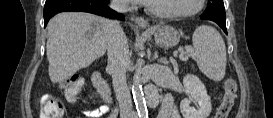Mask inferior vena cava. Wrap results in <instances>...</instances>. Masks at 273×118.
I'll list each match as a JSON object with an SVG mask.
<instances>
[{"label": "inferior vena cava", "instance_id": "obj_1", "mask_svg": "<svg viewBox=\"0 0 273 118\" xmlns=\"http://www.w3.org/2000/svg\"><path fill=\"white\" fill-rule=\"evenodd\" d=\"M110 7L125 13L129 5L126 0H112ZM108 71L112 74L113 87L120 107L121 117L132 110V100L126 82V70L130 63L129 47L123 29L117 20L110 22L107 36Z\"/></svg>", "mask_w": 273, "mask_h": 118}]
</instances>
